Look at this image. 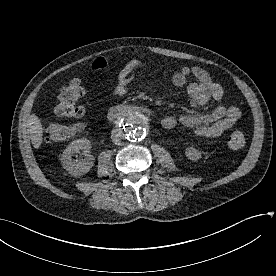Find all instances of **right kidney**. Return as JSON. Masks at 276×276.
Returning <instances> with one entry per match:
<instances>
[{
  "instance_id": "ca27d5eb",
  "label": "right kidney",
  "mask_w": 276,
  "mask_h": 276,
  "mask_svg": "<svg viewBox=\"0 0 276 276\" xmlns=\"http://www.w3.org/2000/svg\"><path fill=\"white\" fill-rule=\"evenodd\" d=\"M91 143L86 138L72 141L61 155V164L66 171L74 176H81L90 171L94 165V157L90 154ZM79 150L83 151L84 158L72 159Z\"/></svg>"
}]
</instances>
